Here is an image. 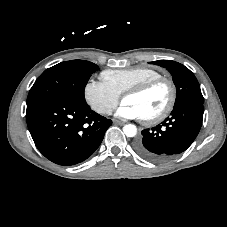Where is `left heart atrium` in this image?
Here are the masks:
<instances>
[{"mask_svg":"<svg viewBox=\"0 0 227 227\" xmlns=\"http://www.w3.org/2000/svg\"><path fill=\"white\" fill-rule=\"evenodd\" d=\"M116 116L122 118V119H140L141 114L138 111V109L128 103H122L120 107L116 111Z\"/></svg>","mask_w":227,"mask_h":227,"instance_id":"obj_1","label":"left heart atrium"}]
</instances>
